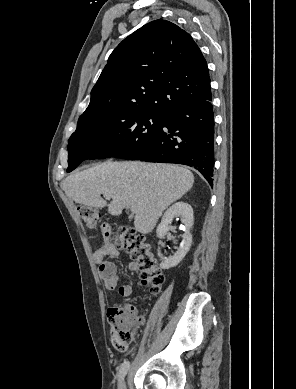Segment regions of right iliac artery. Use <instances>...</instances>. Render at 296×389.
<instances>
[{"mask_svg": "<svg viewBox=\"0 0 296 389\" xmlns=\"http://www.w3.org/2000/svg\"><path fill=\"white\" fill-rule=\"evenodd\" d=\"M129 367H130V363L129 361H124V363L122 364L120 370H119V381L122 380L125 375L127 374L128 370H129Z\"/></svg>", "mask_w": 296, "mask_h": 389, "instance_id": "82829eb1", "label": "right iliac artery"}]
</instances>
